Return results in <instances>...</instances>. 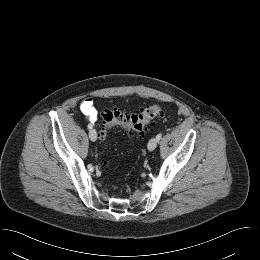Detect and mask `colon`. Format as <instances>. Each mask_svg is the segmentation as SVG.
Returning a JSON list of instances; mask_svg holds the SVG:
<instances>
[{
  "mask_svg": "<svg viewBox=\"0 0 260 260\" xmlns=\"http://www.w3.org/2000/svg\"><path fill=\"white\" fill-rule=\"evenodd\" d=\"M162 108L159 104L154 103L136 114H126L117 109L105 110L101 113L102 128L100 139L105 140L108 133L113 128L124 130L127 134H142L151 121L161 115Z\"/></svg>",
  "mask_w": 260,
  "mask_h": 260,
  "instance_id": "obj_1",
  "label": "colon"
}]
</instances>
